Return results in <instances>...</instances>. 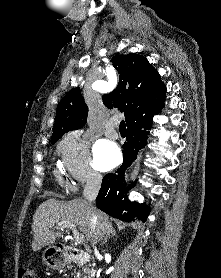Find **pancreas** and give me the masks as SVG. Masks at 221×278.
Instances as JSON below:
<instances>
[{
    "label": "pancreas",
    "instance_id": "1",
    "mask_svg": "<svg viewBox=\"0 0 221 278\" xmlns=\"http://www.w3.org/2000/svg\"><path fill=\"white\" fill-rule=\"evenodd\" d=\"M78 265L80 266L81 263L79 262ZM82 271V273L80 272V270L75 271L74 278H87V276H89L90 273H92V270H90L87 267H83Z\"/></svg>",
    "mask_w": 221,
    "mask_h": 278
}]
</instances>
